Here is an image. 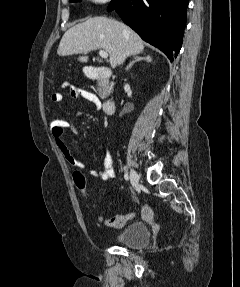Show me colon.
<instances>
[{
  "label": "colon",
  "instance_id": "obj_1",
  "mask_svg": "<svg viewBox=\"0 0 240 287\" xmlns=\"http://www.w3.org/2000/svg\"><path fill=\"white\" fill-rule=\"evenodd\" d=\"M68 121L62 117L61 115H55L50 121V128L52 135L62 136L67 130ZM73 181L78 190H80L85 196L86 192V178L83 173L80 171H75L73 173ZM133 217L132 213H128L125 215H116L111 218L100 217L99 220L103 224L107 226H111L114 228L123 227L131 218Z\"/></svg>",
  "mask_w": 240,
  "mask_h": 287
}]
</instances>
